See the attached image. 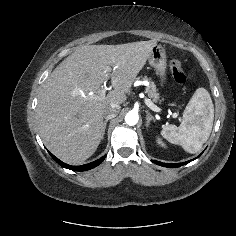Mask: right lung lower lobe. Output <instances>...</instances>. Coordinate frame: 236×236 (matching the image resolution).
<instances>
[{
	"instance_id": "obj_1",
	"label": "right lung lower lobe",
	"mask_w": 236,
	"mask_h": 236,
	"mask_svg": "<svg viewBox=\"0 0 236 236\" xmlns=\"http://www.w3.org/2000/svg\"><path fill=\"white\" fill-rule=\"evenodd\" d=\"M49 154L51 155V157L59 164L61 165L62 167L64 168H67V169H70V170H73V171H86V170H89V169H92L96 166H98L101 162H103L105 160V157L106 155H104L103 157H101L100 159L94 161V162H91V163H88V164H85V165H81V166H71V165H68L62 161H60L59 159H57L53 154H51L49 152Z\"/></svg>"
}]
</instances>
